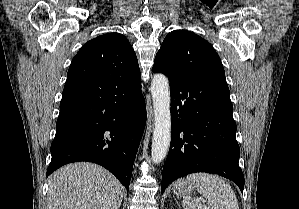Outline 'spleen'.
<instances>
[{"label": "spleen", "instance_id": "3e777b00", "mask_svg": "<svg viewBox=\"0 0 299 209\" xmlns=\"http://www.w3.org/2000/svg\"><path fill=\"white\" fill-rule=\"evenodd\" d=\"M185 182L193 184L198 192L208 201V207L197 198L186 196L183 199L184 209H239L238 201L230 184L219 176L209 173H193Z\"/></svg>", "mask_w": 299, "mask_h": 209}]
</instances>
